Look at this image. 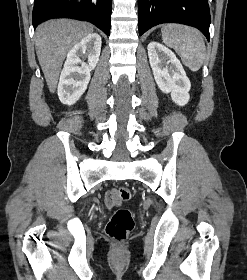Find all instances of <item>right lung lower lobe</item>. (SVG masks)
I'll return each mask as SVG.
<instances>
[{
	"instance_id": "98d812e1",
	"label": "right lung lower lobe",
	"mask_w": 247,
	"mask_h": 280,
	"mask_svg": "<svg viewBox=\"0 0 247 280\" xmlns=\"http://www.w3.org/2000/svg\"><path fill=\"white\" fill-rule=\"evenodd\" d=\"M111 6L112 0H35L33 26L51 18H74L90 21L109 35Z\"/></svg>"
}]
</instances>
